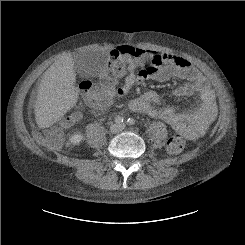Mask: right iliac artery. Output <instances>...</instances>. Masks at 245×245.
Wrapping results in <instances>:
<instances>
[{"label":"right iliac artery","instance_id":"obj_1","mask_svg":"<svg viewBox=\"0 0 245 245\" xmlns=\"http://www.w3.org/2000/svg\"><path fill=\"white\" fill-rule=\"evenodd\" d=\"M123 121H124V119H123V117H121V116H117V117L115 118V122H116L117 124H121Z\"/></svg>","mask_w":245,"mask_h":245}]
</instances>
